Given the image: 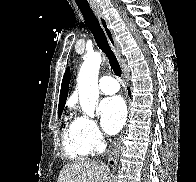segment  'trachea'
<instances>
[{"instance_id": "trachea-1", "label": "trachea", "mask_w": 196, "mask_h": 182, "mask_svg": "<svg viewBox=\"0 0 196 182\" xmlns=\"http://www.w3.org/2000/svg\"><path fill=\"white\" fill-rule=\"evenodd\" d=\"M79 9L84 17L87 27L93 34L97 45L108 58L111 69L117 76H121V67L119 65V62L111 47L109 46L106 35L92 9L90 7L83 6H79Z\"/></svg>"}]
</instances>
